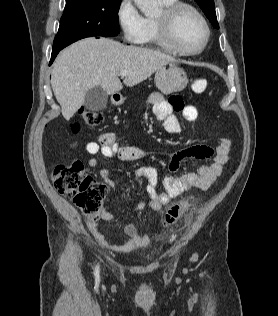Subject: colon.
<instances>
[{
    "label": "colon",
    "mask_w": 278,
    "mask_h": 316,
    "mask_svg": "<svg viewBox=\"0 0 278 316\" xmlns=\"http://www.w3.org/2000/svg\"><path fill=\"white\" fill-rule=\"evenodd\" d=\"M192 90L196 94L203 93L207 88V80L200 78L193 81ZM82 118L89 126L98 125L102 121V113L83 111ZM79 129L73 125V131ZM55 189L62 195L69 197L82 211L89 222L97 223L103 214V202L107 194L105 184L92 177L81 162L57 165L51 175ZM189 200H182L174 204L162 218L164 226H171L181 220L189 210Z\"/></svg>",
    "instance_id": "colon-1"
}]
</instances>
